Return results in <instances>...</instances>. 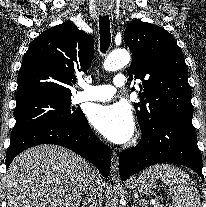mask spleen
<instances>
[{
	"label": "spleen",
	"mask_w": 206,
	"mask_h": 207,
	"mask_svg": "<svg viewBox=\"0 0 206 207\" xmlns=\"http://www.w3.org/2000/svg\"><path fill=\"white\" fill-rule=\"evenodd\" d=\"M141 176L166 183L174 207H201L195 182L180 168L170 164H158L145 169Z\"/></svg>",
	"instance_id": "obj_1"
}]
</instances>
